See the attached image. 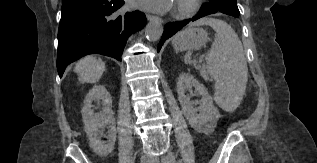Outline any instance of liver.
Segmentation results:
<instances>
[{
  "mask_svg": "<svg viewBox=\"0 0 317 163\" xmlns=\"http://www.w3.org/2000/svg\"><path fill=\"white\" fill-rule=\"evenodd\" d=\"M80 83H96L105 71V63L100 58L87 56L81 59L74 68Z\"/></svg>",
  "mask_w": 317,
  "mask_h": 163,
  "instance_id": "1",
  "label": "liver"
}]
</instances>
